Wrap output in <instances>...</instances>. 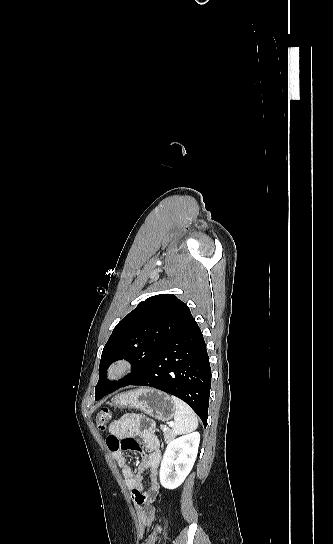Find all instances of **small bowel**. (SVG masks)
<instances>
[{
    "label": "small bowel",
    "mask_w": 333,
    "mask_h": 544,
    "mask_svg": "<svg viewBox=\"0 0 333 544\" xmlns=\"http://www.w3.org/2000/svg\"><path fill=\"white\" fill-rule=\"evenodd\" d=\"M135 435L140 437L142 444L133 438ZM106 444L117 465L121 468L125 484L135 502L138 532L139 536L143 537L155 517V508L150 501L157 496L160 489L158 468L162 453L154 432V424L145 416L126 414L110 424ZM126 451H138L142 455L143 460L139 471L140 473L146 471L149 476L150 487L148 491H144L142 475L136 474L128 464L124 455Z\"/></svg>",
    "instance_id": "small-bowel-1"
}]
</instances>
